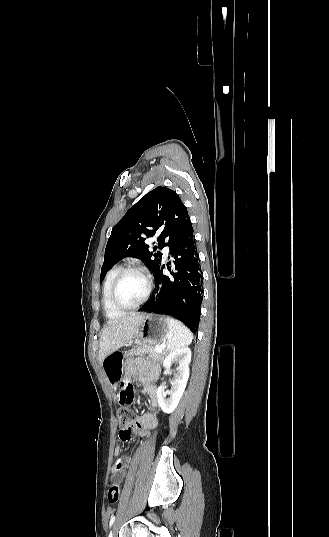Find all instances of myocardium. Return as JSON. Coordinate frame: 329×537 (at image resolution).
Listing matches in <instances>:
<instances>
[{"label":"myocardium","instance_id":"f54148a6","mask_svg":"<svg viewBox=\"0 0 329 537\" xmlns=\"http://www.w3.org/2000/svg\"><path fill=\"white\" fill-rule=\"evenodd\" d=\"M130 272H138L141 275H143V277L146 280V291H145L143 297L136 304L131 305V306H126V305H123V304H121L119 302L118 297H117V293H118V287H119V284H120L122 278L127 273H130ZM152 288H153L152 277H151L150 273L144 267L139 266V265L126 266V267L122 268L118 272L117 276L115 277V279L113 281V284H112V287H111V292H110L111 303L117 310H120V311H129V310L137 309L138 307H140L142 304H144L147 301L148 297L151 294Z\"/></svg>","mask_w":329,"mask_h":537}]
</instances>
